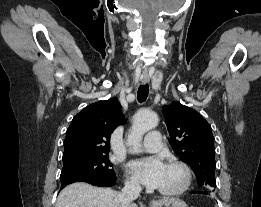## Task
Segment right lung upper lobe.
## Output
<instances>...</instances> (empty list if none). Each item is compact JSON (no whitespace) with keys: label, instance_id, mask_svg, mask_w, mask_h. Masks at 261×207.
<instances>
[{"label":"right lung upper lobe","instance_id":"obj_1","mask_svg":"<svg viewBox=\"0 0 261 207\" xmlns=\"http://www.w3.org/2000/svg\"><path fill=\"white\" fill-rule=\"evenodd\" d=\"M124 122L121 105L113 98L88 105L73 118L67 129L63 161L108 155L111 133Z\"/></svg>","mask_w":261,"mask_h":207}]
</instances>
